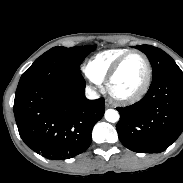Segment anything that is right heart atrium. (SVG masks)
Segmentation results:
<instances>
[{
    "label": "right heart atrium",
    "mask_w": 183,
    "mask_h": 183,
    "mask_svg": "<svg viewBox=\"0 0 183 183\" xmlns=\"http://www.w3.org/2000/svg\"><path fill=\"white\" fill-rule=\"evenodd\" d=\"M84 74L92 84L99 85L101 83V79L92 73L88 65L84 67Z\"/></svg>",
    "instance_id": "d8ad5b80"
}]
</instances>
